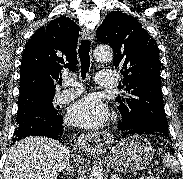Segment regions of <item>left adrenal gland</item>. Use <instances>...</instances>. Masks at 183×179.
Listing matches in <instances>:
<instances>
[{
	"label": "left adrenal gland",
	"mask_w": 183,
	"mask_h": 179,
	"mask_svg": "<svg viewBox=\"0 0 183 179\" xmlns=\"http://www.w3.org/2000/svg\"><path fill=\"white\" fill-rule=\"evenodd\" d=\"M110 179H120V177H118L116 174H111V178Z\"/></svg>",
	"instance_id": "obj_1"
}]
</instances>
